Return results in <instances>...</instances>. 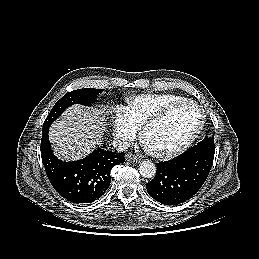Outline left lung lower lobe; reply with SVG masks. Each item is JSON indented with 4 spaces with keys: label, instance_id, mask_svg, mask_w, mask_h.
<instances>
[{
    "label": "left lung lower lobe",
    "instance_id": "1",
    "mask_svg": "<svg viewBox=\"0 0 259 259\" xmlns=\"http://www.w3.org/2000/svg\"><path fill=\"white\" fill-rule=\"evenodd\" d=\"M215 151L197 146L169 161L157 163L155 178L146 186L149 195L164 205L183 203L205 182Z\"/></svg>",
    "mask_w": 259,
    "mask_h": 259
}]
</instances>
